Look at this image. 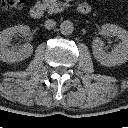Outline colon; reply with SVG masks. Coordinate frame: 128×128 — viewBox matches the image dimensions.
<instances>
[{"label":"colon","mask_w":128,"mask_h":128,"mask_svg":"<svg viewBox=\"0 0 128 128\" xmlns=\"http://www.w3.org/2000/svg\"><path fill=\"white\" fill-rule=\"evenodd\" d=\"M24 3V0H2V7L7 12H14L19 9Z\"/></svg>","instance_id":"obj_1"}]
</instances>
